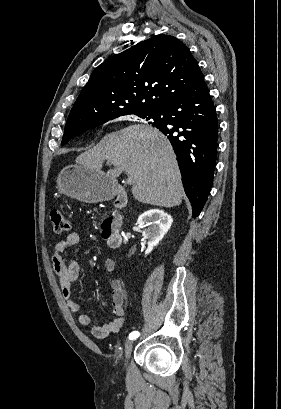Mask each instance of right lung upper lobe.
<instances>
[{
    "label": "right lung upper lobe",
    "instance_id": "obj_1",
    "mask_svg": "<svg viewBox=\"0 0 281 409\" xmlns=\"http://www.w3.org/2000/svg\"><path fill=\"white\" fill-rule=\"evenodd\" d=\"M202 75L176 37L157 35L99 65L78 96L65 128L84 127L125 112H157Z\"/></svg>",
    "mask_w": 281,
    "mask_h": 409
}]
</instances>
